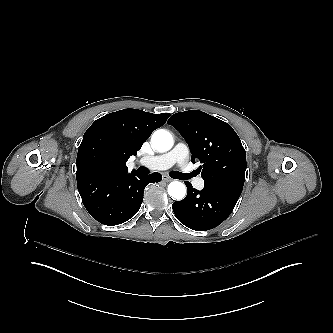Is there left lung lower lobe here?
Instances as JSON below:
<instances>
[{
	"mask_svg": "<svg viewBox=\"0 0 333 333\" xmlns=\"http://www.w3.org/2000/svg\"><path fill=\"white\" fill-rule=\"evenodd\" d=\"M188 193L184 200L173 203L176 218L186 227L206 231L221 224L232 213L241 192L229 188L204 187L202 191L185 182Z\"/></svg>",
	"mask_w": 333,
	"mask_h": 333,
	"instance_id": "obj_1",
	"label": "left lung lower lobe"
}]
</instances>
